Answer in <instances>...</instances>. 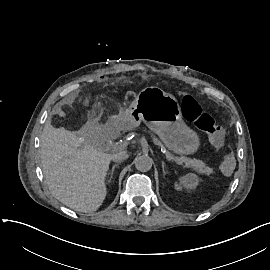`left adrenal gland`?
Listing matches in <instances>:
<instances>
[{
    "label": "left adrenal gland",
    "mask_w": 270,
    "mask_h": 270,
    "mask_svg": "<svg viewBox=\"0 0 270 270\" xmlns=\"http://www.w3.org/2000/svg\"><path fill=\"white\" fill-rule=\"evenodd\" d=\"M162 171H163L164 176H166L167 173L165 172V163H162Z\"/></svg>",
    "instance_id": "obj_1"
}]
</instances>
